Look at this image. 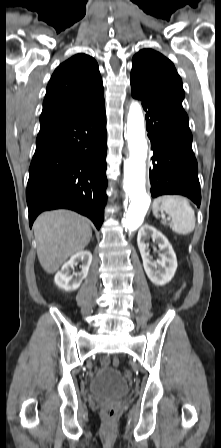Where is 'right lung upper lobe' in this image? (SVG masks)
<instances>
[{
	"mask_svg": "<svg viewBox=\"0 0 221 448\" xmlns=\"http://www.w3.org/2000/svg\"><path fill=\"white\" fill-rule=\"evenodd\" d=\"M103 93L97 62L86 54L74 55L56 68L48 83L40 128L96 102Z\"/></svg>",
	"mask_w": 221,
	"mask_h": 448,
	"instance_id": "1",
	"label": "right lung upper lobe"
}]
</instances>
